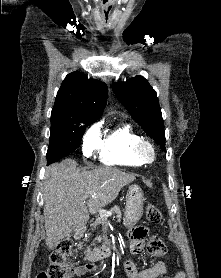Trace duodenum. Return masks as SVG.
Returning <instances> with one entry per match:
<instances>
[{
    "mask_svg": "<svg viewBox=\"0 0 221 278\" xmlns=\"http://www.w3.org/2000/svg\"><path fill=\"white\" fill-rule=\"evenodd\" d=\"M84 235V229H80L75 233V239H81ZM114 248L110 242H105L99 247L94 248L87 256L86 268L91 269L94 267V263L109 257L113 254Z\"/></svg>",
    "mask_w": 221,
    "mask_h": 278,
    "instance_id": "obj_1",
    "label": "duodenum"
}]
</instances>
